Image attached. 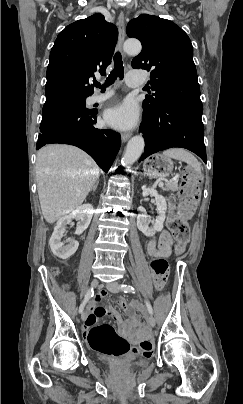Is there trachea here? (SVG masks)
I'll return each mask as SVG.
<instances>
[{
  "label": "trachea",
  "instance_id": "obj_1",
  "mask_svg": "<svg viewBox=\"0 0 243 404\" xmlns=\"http://www.w3.org/2000/svg\"><path fill=\"white\" fill-rule=\"evenodd\" d=\"M123 76H124V67L122 57L120 52H116L114 55V68L108 75L107 79L105 80L104 85H100L99 82H94V86L104 91L105 87L112 85L118 77L120 78V80H122Z\"/></svg>",
  "mask_w": 243,
  "mask_h": 404
}]
</instances>
